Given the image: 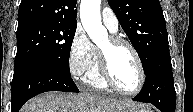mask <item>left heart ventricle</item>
Returning a JSON list of instances; mask_svg holds the SVG:
<instances>
[{"label": "left heart ventricle", "mask_w": 193, "mask_h": 112, "mask_svg": "<svg viewBox=\"0 0 193 112\" xmlns=\"http://www.w3.org/2000/svg\"><path fill=\"white\" fill-rule=\"evenodd\" d=\"M107 54L108 65L115 82L124 90H134L139 82V71L131 50L126 46H112L107 39L100 47Z\"/></svg>", "instance_id": "left-heart-ventricle-1"}]
</instances>
